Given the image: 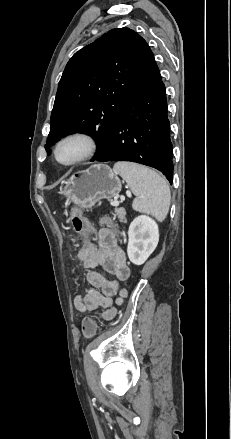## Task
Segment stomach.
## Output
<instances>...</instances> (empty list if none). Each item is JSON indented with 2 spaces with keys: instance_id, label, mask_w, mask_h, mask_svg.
I'll use <instances>...</instances> for the list:
<instances>
[{
  "instance_id": "1",
  "label": "stomach",
  "mask_w": 231,
  "mask_h": 439,
  "mask_svg": "<svg viewBox=\"0 0 231 439\" xmlns=\"http://www.w3.org/2000/svg\"><path fill=\"white\" fill-rule=\"evenodd\" d=\"M121 188L116 172L107 165L97 164L72 175L60 189V194L67 198L68 203L88 209L101 199L118 197Z\"/></svg>"
}]
</instances>
